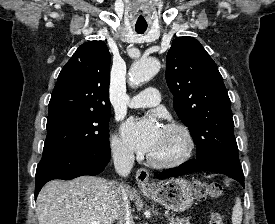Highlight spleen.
<instances>
[{
    "label": "spleen",
    "mask_w": 275,
    "mask_h": 224,
    "mask_svg": "<svg viewBox=\"0 0 275 224\" xmlns=\"http://www.w3.org/2000/svg\"><path fill=\"white\" fill-rule=\"evenodd\" d=\"M242 215L243 209L241 207V199L237 197L232 212V224H241Z\"/></svg>",
    "instance_id": "3e777b00"
}]
</instances>
